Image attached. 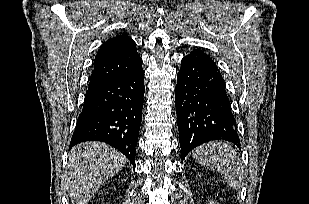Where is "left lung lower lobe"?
<instances>
[{
  "label": "left lung lower lobe",
  "instance_id": "1",
  "mask_svg": "<svg viewBox=\"0 0 309 204\" xmlns=\"http://www.w3.org/2000/svg\"><path fill=\"white\" fill-rule=\"evenodd\" d=\"M175 88L182 160L195 147L226 140L240 147L225 83L214 61L194 50L181 61Z\"/></svg>",
  "mask_w": 309,
  "mask_h": 204
}]
</instances>
